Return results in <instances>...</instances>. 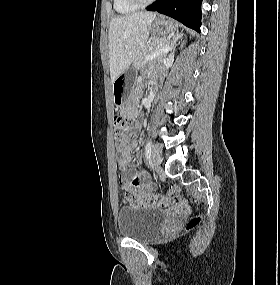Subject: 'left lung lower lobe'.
Masks as SVG:
<instances>
[{"mask_svg":"<svg viewBox=\"0 0 280 285\" xmlns=\"http://www.w3.org/2000/svg\"><path fill=\"white\" fill-rule=\"evenodd\" d=\"M202 0H158L147 7L149 11L170 16L185 26L200 32Z\"/></svg>","mask_w":280,"mask_h":285,"instance_id":"0a47b994","label":"left lung lower lobe"}]
</instances>
